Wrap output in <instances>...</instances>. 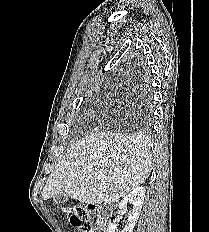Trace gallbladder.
Listing matches in <instances>:
<instances>
[{
	"label": "gallbladder",
	"instance_id": "gallbladder-1",
	"mask_svg": "<svg viewBox=\"0 0 209 232\" xmlns=\"http://www.w3.org/2000/svg\"><path fill=\"white\" fill-rule=\"evenodd\" d=\"M67 200V197L63 194H58L54 197V201L56 204H63Z\"/></svg>",
	"mask_w": 209,
	"mask_h": 232
}]
</instances>
